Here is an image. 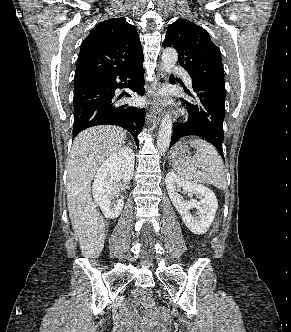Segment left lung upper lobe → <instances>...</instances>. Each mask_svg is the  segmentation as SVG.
Returning a JSON list of instances; mask_svg holds the SVG:
<instances>
[{
	"mask_svg": "<svg viewBox=\"0 0 291 332\" xmlns=\"http://www.w3.org/2000/svg\"><path fill=\"white\" fill-rule=\"evenodd\" d=\"M163 46H171L178 51L179 65L192 79H209L224 83L220 50L200 26L187 19H177L168 26Z\"/></svg>",
	"mask_w": 291,
	"mask_h": 332,
	"instance_id": "5c2ea615",
	"label": "left lung upper lobe"
}]
</instances>
